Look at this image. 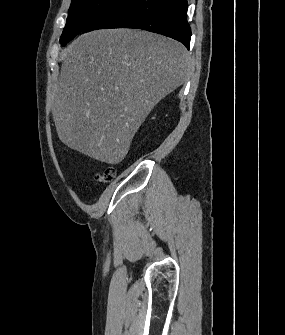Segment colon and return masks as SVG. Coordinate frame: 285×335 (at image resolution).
Wrapping results in <instances>:
<instances>
[{"label": "colon", "instance_id": "5ec220e1", "mask_svg": "<svg viewBox=\"0 0 285 335\" xmlns=\"http://www.w3.org/2000/svg\"><path fill=\"white\" fill-rule=\"evenodd\" d=\"M114 175H115L114 169L113 168H108L98 176V179L101 182H109L113 179Z\"/></svg>", "mask_w": 285, "mask_h": 335}]
</instances>
